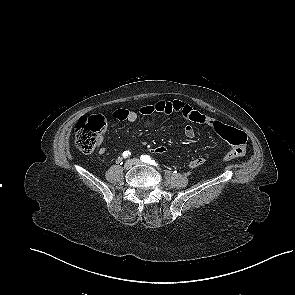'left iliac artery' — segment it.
<instances>
[{
  "label": "left iliac artery",
  "instance_id": "1",
  "mask_svg": "<svg viewBox=\"0 0 295 295\" xmlns=\"http://www.w3.org/2000/svg\"><path fill=\"white\" fill-rule=\"evenodd\" d=\"M141 160L144 162V163H147V164H150V165H153V166H158V164L155 162V160H153L150 156L148 155H141Z\"/></svg>",
  "mask_w": 295,
  "mask_h": 295
}]
</instances>
